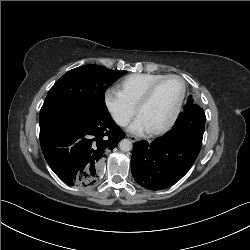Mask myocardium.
<instances>
[{"mask_svg":"<svg viewBox=\"0 0 250 250\" xmlns=\"http://www.w3.org/2000/svg\"><path fill=\"white\" fill-rule=\"evenodd\" d=\"M177 79L180 81L182 89H181V93L179 96V99L177 101V104L174 108V111L171 115V117L168 119V121L166 123H164L163 125H161L160 127H157L155 129L150 130V133L153 135H158L161 133L166 132L167 130H169L174 123L176 122L180 112H181V108L183 105V101L186 95V83L184 81V79L176 74H167L162 76L161 78L157 79L156 81H154L144 92V94L142 95V97L140 98V100L138 101L137 105H136V109H137V113L139 114L141 109L150 101V99L152 98V96L154 95V92L156 91L157 87L165 80L167 79Z\"/></svg>","mask_w":250,"mask_h":250,"instance_id":"1","label":"myocardium"}]
</instances>
